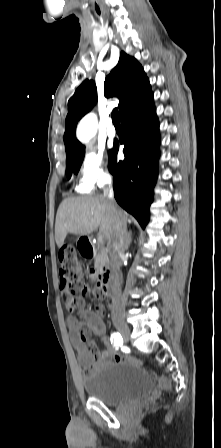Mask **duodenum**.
<instances>
[{
    "mask_svg": "<svg viewBox=\"0 0 221 448\" xmlns=\"http://www.w3.org/2000/svg\"><path fill=\"white\" fill-rule=\"evenodd\" d=\"M78 248L81 255L86 259L101 258V254L97 250L93 240L88 236H83L81 238ZM99 284L102 295H112L114 292V278L111 269L106 264L102 265V277Z\"/></svg>",
    "mask_w": 221,
    "mask_h": 448,
    "instance_id": "1",
    "label": "duodenum"
}]
</instances>
